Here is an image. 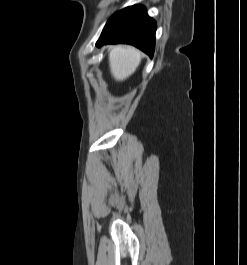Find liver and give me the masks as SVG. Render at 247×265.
<instances>
[{
    "instance_id": "liver-1",
    "label": "liver",
    "mask_w": 247,
    "mask_h": 265,
    "mask_svg": "<svg viewBox=\"0 0 247 265\" xmlns=\"http://www.w3.org/2000/svg\"><path fill=\"white\" fill-rule=\"evenodd\" d=\"M142 54L131 46L117 45L109 52V66L112 76L123 81L132 75L141 62Z\"/></svg>"
}]
</instances>
